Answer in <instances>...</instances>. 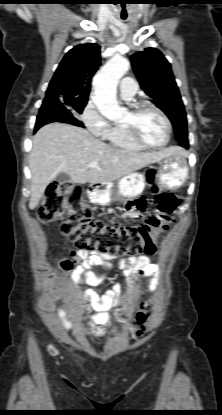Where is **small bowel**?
I'll return each instance as SVG.
<instances>
[{
	"label": "small bowel",
	"mask_w": 222,
	"mask_h": 415,
	"mask_svg": "<svg viewBox=\"0 0 222 415\" xmlns=\"http://www.w3.org/2000/svg\"><path fill=\"white\" fill-rule=\"evenodd\" d=\"M72 256L81 261V264L73 272V278L77 283H85L89 286H98L104 282V276L101 273L91 271V268L96 267L100 272H106L117 266L122 269L128 282H133L137 276H148L159 273V268L152 263L147 256H130L127 258L118 257L115 255H100L97 253L85 250H73ZM158 284V279L154 278L149 290H154ZM120 289L114 287L103 295H98L95 292H90L85 303L87 311L95 310L96 314L90 317L88 321L90 335L93 337H102L106 333L107 326L110 323L108 311L121 304L119 300ZM62 314V311H59ZM64 327L69 329L71 323L64 322ZM116 329L114 328L113 331Z\"/></svg>",
	"instance_id": "c3829d8e"
}]
</instances>
